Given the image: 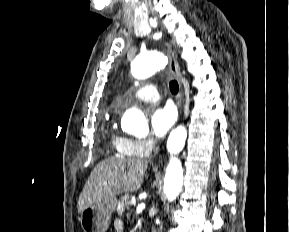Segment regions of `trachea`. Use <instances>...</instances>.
<instances>
[{
    "instance_id": "trachea-1",
    "label": "trachea",
    "mask_w": 289,
    "mask_h": 232,
    "mask_svg": "<svg viewBox=\"0 0 289 232\" xmlns=\"http://www.w3.org/2000/svg\"><path fill=\"white\" fill-rule=\"evenodd\" d=\"M169 86H170V91L173 94H177L178 93L179 85H178L177 81H175V80L170 81Z\"/></svg>"
}]
</instances>
